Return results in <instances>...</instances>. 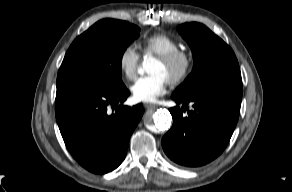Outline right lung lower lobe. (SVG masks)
<instances>
[{"mask_svg":"<svg viewBox=\"0 0 292 192\" xmlns=\"http://www.w3.org/2000/svg\"><path fill=\"white\" fill-rule=\"evenodd\" d=\"M129 94L125 86L113 91L84 81L57 82L55 113L61 135L75 160L90 172L108 173L124 160L143 115L142 104L118 105Z\"/></svg>","mask_w":292,"mask_h":192,"instance_id":"obj_1","label":"right lung lower lobe"}]
</instances>
